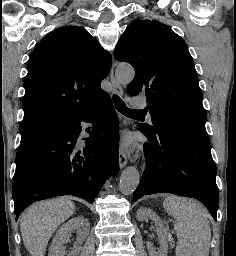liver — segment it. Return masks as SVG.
<instances>
[{"instance_id": "liver-1", "label": "liver", "mask_w": 236, "mask_h": 256, "mask_svg": "<svg viewBox=\"0 0 236 256\" xmlns=\"http://www.w3.org/2000/svg\"><path fill=\"white\" fill-rule=\"evenodd\" d=\"M74 212L75 204L69 198L46 200L27 208L21 216L20 230L30 256H45L52 234Z\"/></svg>"}]
</instances>
